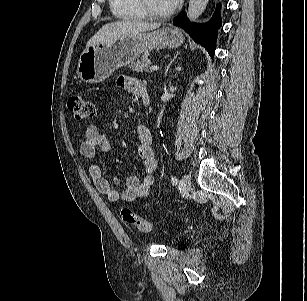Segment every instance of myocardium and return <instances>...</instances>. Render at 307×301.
I'll use <instances>...</instances> for the list:
<instances>
[{"label":"myocardium","instance_id":"myocardium-1","mask_svg":"<svg viewBox=\"0 0 307 301\" xmlns=\"http://www.w3.org/2000/svg\"><path fill=\"white\" fill-rule=\"evenodd\" d=\"M138 5L143 11V13L150 18L153 19H164L170 17L174 12H175V7H172L169 11L167 12H157L152 9L150 6L148 0H137Z\"/></svg>","mask_w":307,"mask_h":301}]
</instances>
